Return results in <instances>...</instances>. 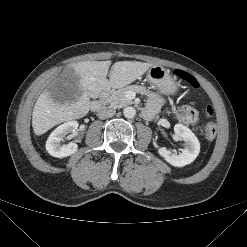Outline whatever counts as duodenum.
I'll return each instance as SVG.
<instances>
[{
	"mask_svg": "<svg viewBox=\"0 0 247 247\" xmlns=\"http://www.w3.org/2000/svg\"><path fill=\"white\" fill-rule=\"evenodd\" d=\"M111 90L112 89H111L110 85H107L104 88V90L100 94L99 98L92 102V104H91V110L92 111L96 112V111H99L100 109H102L104 107V103L106 101V98H107V96Z\"/></svg>",
	"mask_w": 247,
	"mask_h": 247,
	"instance_id": "obj_1",
	"label": "duodenum"
}]
</instances>
